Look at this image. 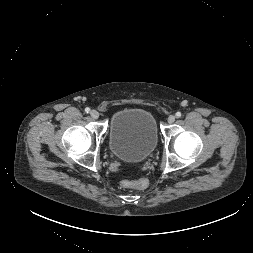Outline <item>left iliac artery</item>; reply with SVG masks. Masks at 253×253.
<instances>
[{"mask_svg":"<svg viewBox=\"0 0 253 253\" xmlns=\"http://www.w3.org/2000/svg\"><path fill=\"white\" fill-rule=\"evenodd\" d=\"M176 117H177V118L181 117V112H177V113H176Z\"/></svg>","mask_w":253,"mask_h":253,"instance_id":"1","label":"left iliac artery"}]
</instances>
